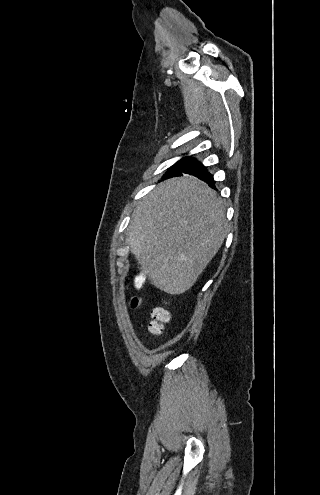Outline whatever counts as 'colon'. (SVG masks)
<instances>
[{
	"label": "colon",
	"mask_w": 320,
	"mask_h": 495,
	"mask_svg": "<svg viewBox=\"0 0 320 495\" xmlns=\"http://www.w3.org/2000/svg\"><path fill=\"white\" fill-rule=\"evenodd\" d=\"M143 285V279L141 277H137L135 279V286L140 288ZM140 298L134 296L131 299V307L135 308L139 305ZM152 322L149 325V329L153 334H160L163 330V324L169 321L170 314L169 311L163 307H159L153 310L152 312Z\"/></svg>",
	"instance_id": "5ec220e1"
}]
</instances>
